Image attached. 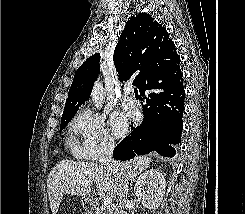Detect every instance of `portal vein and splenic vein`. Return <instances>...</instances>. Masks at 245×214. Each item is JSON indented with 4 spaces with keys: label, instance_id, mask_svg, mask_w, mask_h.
<instances>
[{
    "label": "portal vein and splenic vein",
    "instance_id": "portal-vein-and-splenic-vein-1",
    "mask_svg": "<svg viewBox=\"0 0 245 214\" xmlns=\"http://www.w3.org/2000/svg\"><path fill=\"white\" fill-rule=\"evenodd\" d=\"M102 204L105 207H110V205L112 204V198L111 197H104L102 200Z\"/></svg>",
    "mask_w": 245,
    "mask_h": 214
}]
</instances>
